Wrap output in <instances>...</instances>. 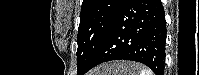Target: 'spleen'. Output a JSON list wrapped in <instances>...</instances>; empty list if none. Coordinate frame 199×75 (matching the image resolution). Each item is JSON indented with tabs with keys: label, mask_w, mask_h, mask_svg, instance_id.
I'll return each mask as SVG.
<instances>
[{
	"label": "spleen",
	"mask_w": 199,
	"mask_h": 75,
	"mask_svg": "<svg viewBox=\"0 0 199 75\" xmlns=\"http://www.w3.org/2000/svg\"><path fill=\"white\" fill-rule=\"evenodd\" d=\"M137 67L140 69L139 75H153V72L145 67H140L139 65H137Z\"/></svg>",
	"instance_id": "spleen-1"
}]
</instances>
